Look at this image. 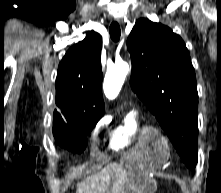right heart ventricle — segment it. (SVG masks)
Listing matches in <instances>:
<instances>
[{
	"mask_svg": "<svg viewBox=\"0 0 221 193\" xmlns=\"http://www.w3.org/2000/svg\"><path fill=\"white\" fill-rule=\"evenodd\" d=\"M140 130L141 124L136 112L130 111L114 131L110 147L113 150L120 151L133 146L138 140Z\"/></svg>",
	"mask_w": 221,
	"mask_h": 193,
	"instance_id": "e07e8e85",
	"label": "right heart ventricle"
}]
</instances>
